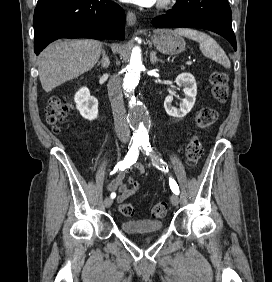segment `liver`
Segmentation results:
<instances>
[{
	"instance_id": "6515ba94",
	"label": "liver",
	"mask_w": 272,
	"mask_h": 282,
	"mask_svg": "<svg viewBox=\"0 0 272 282\" xmlns=\"http://www.w3.org/2000/svg\"><path fill=\"white\" fill-rule=\"evenodd\" d=\"M102 52V43L91 39L58 41L40 54L39 78L45 92L91 70Z\"/></svg>"
}]
</instances>
